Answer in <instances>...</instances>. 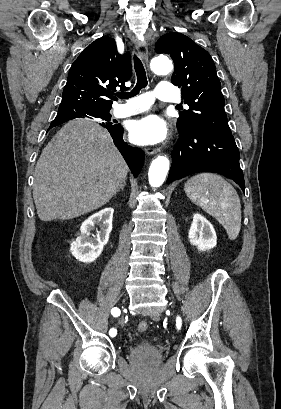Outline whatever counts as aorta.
<instances>
[{
	"label": "aorta",
	"instance_id": "762f6f07",
	"mask_svg": "<svg viewBox=\"0 0 281 409\" xmlns=\"http://www.w3.org/2000/svg\"><path fill=\"white\" fill-rule=\"evenodd\" d=\"M151 70L157 75H166L172 71V61L166 56L155 57L150 63ZM169 159L166 156L155 158L149 168L148 179L152 187L163 184L169 170Z\"/></svg>",
	"mask_w": 281,
	"mask_h": 409
}]
</instances>
